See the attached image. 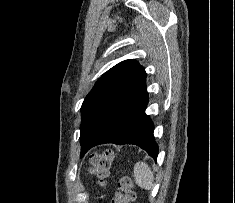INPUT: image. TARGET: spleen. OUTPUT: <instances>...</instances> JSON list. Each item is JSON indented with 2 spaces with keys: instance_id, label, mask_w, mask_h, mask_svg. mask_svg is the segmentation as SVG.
Here are the masks:
<instances>
[{
  "instance_id": "3e777b00",
  "label": "spleen",
  "mask_w": 235,
  "mask_h": 203,
  "mask_svg": "<svg viewBox=\"0 0 235 203\" xmlns=\"http://www.w3.org/2000/svg\"><path fill=\"white\" fill-rule=\"evenodd\" d=\"M134 179L136 184L146 190L153 188L154 176L150 167L144 162H137L134 166Z\"/></svg>"
}]
</instances>
